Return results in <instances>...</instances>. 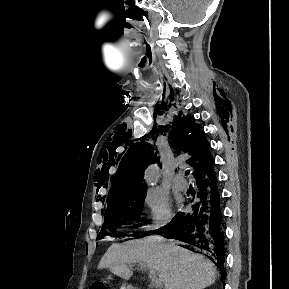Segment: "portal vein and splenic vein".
I'll use <instances>...</instances> for the list:
<instances>
[{
  "label": "portal vein and splenic vein",
  "mask_w": 289,
  "mask_h": 289,
  "mask_svg": "<svg viewBox=\"0 0 289 289\" xmlns=\"http://www.w3.org/2000/svg\"><path fill=\"white\" fill-rule=\"evenodd\" d=\"M141 267H144V265H142ZM149 276L155 286V288L159 289L160 287H162V281L160 280V278H158V275L156 274V272L154 270H149Z\"/></svg>",
  "instance_id": "1"
}]
</instances>
